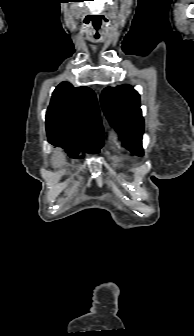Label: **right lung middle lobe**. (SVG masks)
Instances as JSON below:
<instances>
[{"label": "right lung middle lobe", "instance_id": "dd1d6c3e", "mask_svg": "<svg viewBox=\"0 0 194 336\" xmlns=\"http://www.w3.org/2000/svg\"><path fill=\"white\" fill-rule=\"evenodd\" d=\"M54 146L62 147L70 157L76 158L79 151L98 153L102 147V140H79L74 138H55L50 142Z\"/></svg>", "mask_w": 194, "mask_h": 336}]
</instances>
